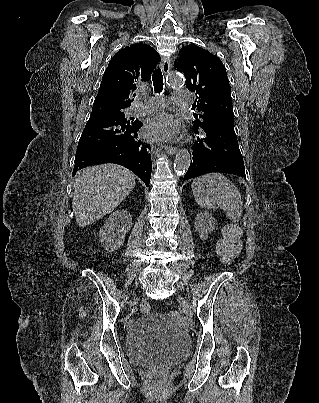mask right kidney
<instances>
[{
  "label": "right kidney",
  "instance_id": "1",
  "mask_svg": "<svg viewBox=\"0 0 319 403\" xmlns=\"http://www.w3.org/2000/svg\"><path fill=\"white\" fill-rule=\"evenodd\" d=\"M132 226V217L126 210L113 212L100 229V243L107 252L119 249L125 240V234Z\"/></svg>",
  "mask_w": 319,
  "mask_h": 403
}]
</instances>
